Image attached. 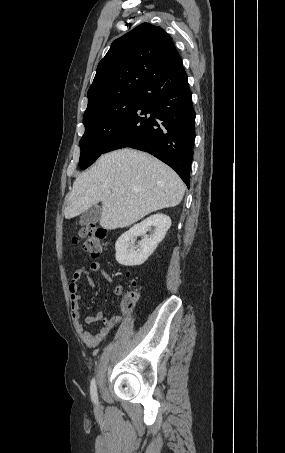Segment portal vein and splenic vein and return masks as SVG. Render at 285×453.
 <instances>
[{
    "instance_id": "18ae733b",
    "label": "portal vein and splenic vein",
    "mask_w": 285,
    "mask_h": 453,
    "mask_svg": "<svg viewBox=\"0 0 285 453\" xmlns=\"http://www.w3.org/2000/svg\"><path fill=\"white\" fill-rule=\"evenodd\" d=\"M112 192H113V193H117V192H118V188H113V189H112Z\"/></svg>"
}]
</instances>
